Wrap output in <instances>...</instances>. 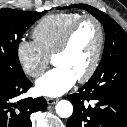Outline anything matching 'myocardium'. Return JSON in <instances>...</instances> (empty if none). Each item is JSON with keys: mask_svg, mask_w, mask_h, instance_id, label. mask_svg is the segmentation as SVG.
<instances>
[{"mask_svg": "<svg viewBox=\"0 0 127 127\" xmlns=\"http://www.w3.org/2000/svg\"><path fill=\"white\" fill-rule=\"evenodd\" d=\"M85 21H92L96 25L98 30V44L89 68L86 70L84 74L77 78L79 82H85L89 80L99 66L105 43V32L102 22L92 15H83L79 17L66 31L58 47L52 54V59L64 54L68 50L75 32L77 31L79 26Z\"/></svg>", "mask_w": 127, "mask_h": 127, "instance_id": "myocardium-1", "label": "myocardium"}]
</instances>
